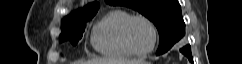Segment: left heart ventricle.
<instances>
[{
	"label": "left heart ventricle",
	"mask_w": 242,
	"mask_h": 64,
	"mask_svg": "<svg viewBox=\"0 0 242 64\" xmlns=\"http://www.w3.org/2000/svg\"><path fill=\"white\" fill-rule=\"evenodd\" d=\"M129 40L137 51L149 49L153 42V35L148 24L143 20H135L129 28Z\"/></svg>",
	"instance_id": "left-heart-ventricle-1"
}]
</instances>
